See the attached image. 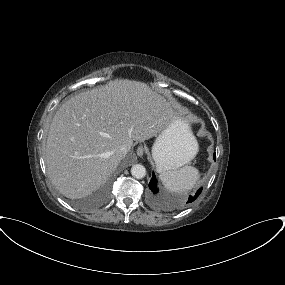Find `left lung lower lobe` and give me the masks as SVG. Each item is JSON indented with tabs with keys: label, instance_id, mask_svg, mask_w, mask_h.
I'll return each mask as SVG.
<instances>
[{
	"label": "left lung lower lobe",
	"instance_id": "1",
	"mask_svg": "<svg viewBox=\"0 0 285 285\" xmlns=\"http://www.w3.org/2000/svg\"><path fill=\"white\" fill-rule=\"evenodd\" d=\"M214 159H215V153H214ZM149 188H150V190L152 191L153 194H157V192H158L157 181H156V178H155L154 174H153V177L150 180ZM201 191H202V188H200L193 197L189 196L187 203L193 202L200 195Z\"/></svg>",
	"mask_w": 285,
	"mask_h": 285
}]
</instances>
